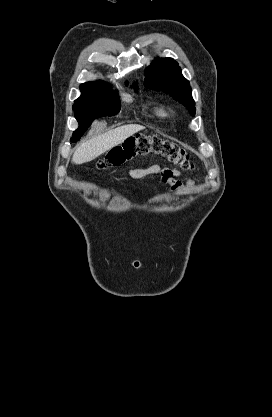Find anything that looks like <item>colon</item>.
I'll return each instance as SVG.
<instances>
[{
  "label": "colon",
  "mask_w": 272,
  "mask_h": 417,
  "mask_svg": "<svg viewBox=\"0 0 272 417\" xmlns=\"http://www.w3.org/2000/svg\"><path fill=\"white\" fill-rule=\"evenodd\" d=\"M158 155L184 170L193 169L188 153L178 145L159 137L137 135L127 139L121 145L111 149L97 163V167L105 169L119 167L139 157Z\"/></svg>",
  "instance_id": "5ec220e1"
}]
</instances>
